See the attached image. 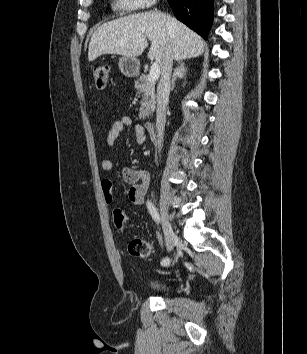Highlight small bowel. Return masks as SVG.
Segmentation results:
<instances>
[{"label": "small bowel", "instance_id": "small-bowel-1", "mask_svg": "<svg viewBox=\"0 0 307 354\" xmlns=\"http://www.w3.org/2000/svg\"><path fill=\"white\" fill-rule=\"evenodd\" d=\"M131 126H133L136 141L144 143L147 139L144 127L140 124H134L130 117L124 116L111 126L106 137V144L109 147L114 146L120 134ZM101 167L105 171L111 170L113 168L112 160L109 158L103 159ZM121 177L128 184V188L125 191L128 199L135 205H143L150 185L149 173L146 170L123 167L121 169ZM101 189L106 202L111 203L114 199L112 182L108 179L102 180Z\"/></svg>", "mask_w": 307, "mask_h": 354}]
</instances>
